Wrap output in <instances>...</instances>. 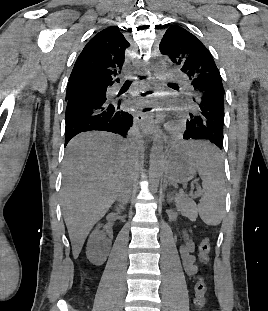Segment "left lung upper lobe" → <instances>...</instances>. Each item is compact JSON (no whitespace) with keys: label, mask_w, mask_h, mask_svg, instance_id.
Returning a JSON list of instances; mask_svg holds the SVG:
<instances>
[{"label":"left lung upper lobe","mask_w":268,"mask_h":311,"mask_svg":"<svg viewBox=\"0 0 268 311\" xmlns=\"http://www.w3.org/2000/svg\"><path fill=\"white\" fill-rule=\"evenodd\" d=\"M159 49L189 77L193 91L192 98H198L205 92L224 93L222 78L211 53L186 29L177 25L169 27L161 40ZM191 105L193 108V101ZM193 111L194 108L191 113Z\"/></svg>","instance_id":"5c2ea615"}]
</instances>
